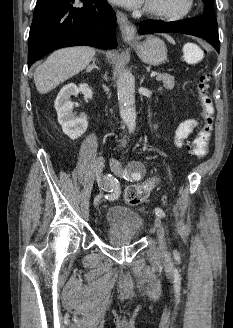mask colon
Returning a JSON list of instances; mask_svg holds the SVG:
<instances>
[{
	"label": "colon",
	"instance_id": "1",
	"mask_svg": "<svg viewBox=\"0 0 233 328\" xmlns=\"http://www.w3.org/2000/svg\"><path fill=\"white\" fill-rule=\"evenodd\" d=\"M204 55V50L194 44L189 45L185 49V58L188 61L201 60ZM209 81L210 75L208 73H203L199 76L197 92L202 107L203 126L188 145L189 153L199 158L204 157L208 153L214 121L213 102L208 94ZM155 185L156 181L150 179L143 183L129 186L124 194L125 201L132 206L140 204L149 196Z\"/></svg>",
	"mask_w": 233,
	"mask_h": 328
}]
</instances>
